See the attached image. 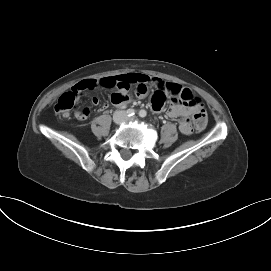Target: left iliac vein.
<instances>
[{
  "mask_svg": "<svg viewBox=\"0 0 271 271\" xmlns=\"http://www.w3.org/2000/svg\"><path fill=\"white\" fill-rule=\"evenodd\" d=\"M135 117H131V118H126V121H134Z\"/></svg>",
  "mask_w": 271,
  "mask_h": 271,
  "instance_id": "obj_1",
  "label": "left iliac vein"
}]
</instances>
